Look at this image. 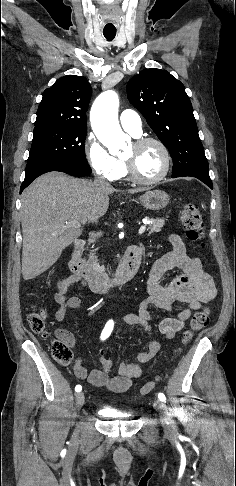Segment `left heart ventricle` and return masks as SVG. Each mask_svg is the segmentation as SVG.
Returning a JSON list of instances; mask_svg holds the SVG:
<instances>
[{"label": "left heart ventricle", "mask_w": 236, "mask_h": 486, "mask_svg": "<svg viewBox=\"0 0 236 486\" xmlns=\"http://www.w3.org/2000/svg\"><path fill=\"white\" fill-rule=\"evenodd\" d=\"M124 158L129 160L136 173L145 179L156 177L163 169L164 158L160 148L155 144L136 147L132 144Z\"/></svg>", "instance_id": "1"}]
</instances>
